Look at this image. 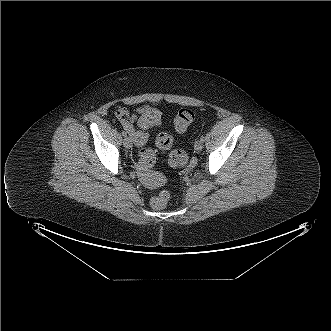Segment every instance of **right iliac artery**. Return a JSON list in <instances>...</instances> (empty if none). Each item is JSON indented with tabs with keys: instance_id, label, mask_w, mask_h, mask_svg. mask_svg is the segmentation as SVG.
Returning a JSON list of instances; mask_svg holds the SVG:
<instances>
[{
	"instance_id": "obj_1",
	"label": "right iliac artery",
	"mask_w": 331,
	"mask_h": 331,
	"mask_svg": "<svg viewBox=\"0 0 331 331\" xmlns=\"http://www.w3.org/2000/svg\"><path fill=\"white\" fill-rule=\"evenodd\" d=\"M122 135H123V137H127V133L124 131H122Z\"/></svg>"
}]
</instances>
